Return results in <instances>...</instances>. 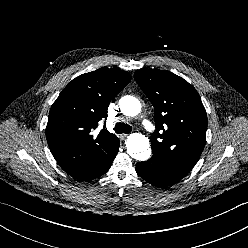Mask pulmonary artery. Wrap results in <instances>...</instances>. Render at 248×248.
I'll use <instances>...</instances> for the list:
<instances>
[{"label":"pulmonary artery","mask_w":248,"mask_h":248,"mask_svg":"<svg viewBox=\"0 0 248 248\" xmlns=\"http://www.w3.org/2000/svg\"><path fill=\"white\" fill-rule=\"evenodd\" d=\"M142 123H143L144 128L148 132H153V130H154L153 126H152V124L146 118H143Z\"/></svg>","instance_id":"pulmonary-artery-1"}]
</instances>
